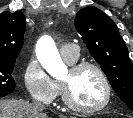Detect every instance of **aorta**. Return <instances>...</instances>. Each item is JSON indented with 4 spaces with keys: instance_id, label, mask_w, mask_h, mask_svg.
Listing matches in <instances>:
<instances>
[{
    "instance_id": "1",
    "label": "aorta",
    "mask_w": 133,
    "mask_h": 118,
    "mask_svg": "<svg viewBox=\"0 0 133 118\" xmlns=\"http://www.w3.org/2000/svg\"><path fill=\"white\" fill-rule=\"evenodd\" d=\"M41 48L37 52V58L41 65L52 77H59L66 71L54 41L50 37L41 39Z\"/></svg>"
}]
</instances>
